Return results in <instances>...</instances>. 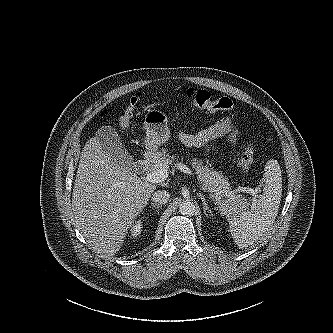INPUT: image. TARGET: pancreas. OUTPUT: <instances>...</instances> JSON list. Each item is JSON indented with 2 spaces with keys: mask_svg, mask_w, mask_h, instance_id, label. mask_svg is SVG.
<instances>
[{
  "mask_svg": "<svg viewBox=\"0 0 333 333\" xmlns=\"http://www.w3.org/2000/svg\"><path fill=\"white\" fill-rule=\"evenodd\" d=\"M174 159V155L171 156L166 149H162V151L155 153L151 171L172 164ZM191 164L198 174L200 183L215 197L223 214L228 216L245 207V200L234 193L228 179L222 173L215 171L208 165H203L202 160L197 158H193Z\"/></svg>",
  "mask_w": 333,
  "mask_h": 333,
  "instance_id": "obj_1",
  "label": "pancreas"
}]
</instances>
